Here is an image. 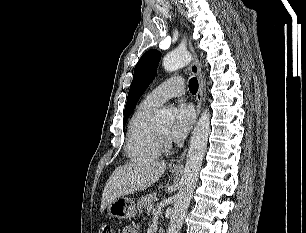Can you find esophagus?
<instances>
[{
    "label": "esophagus",
    "instance_id": "34e87169",
    "mask_svg": "<svg viewBox=\"0 0 306 233\" xmlns=\"http://www.w3.org/2000/svg\"><path fill=\"white\" fill-rule=\"evenodd\" d=\"M189 47L190 50L193 53L194 59L190 65V70L191 73L194 74L197 79H198V92L196 94V109H197V116H199L200 114V109H201V103H202V98H203V90H204V81H203V77H202V73H201V67H200V63L197 59L196 53L194 51V47H193V43L191 41V39H189ZM186 151L187 149H185L179 156H177L175 159H173L170 164L169 167L170 168H181L182 167V163L183 160L185 158L186 155Z\"/></svg>",
    "mask_w": 306,
    "mask_h": 233
}]
</instances>
